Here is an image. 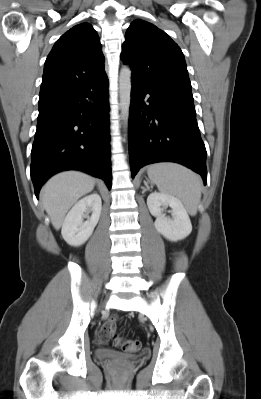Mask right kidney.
Returning <instances> with one entry per match:
<instances>
[{
    "label": "right kidney",
    "mask_w": 261,
    "mask_h": 399,
    "mask_svg": "<svg viewBox=\"0 0 261 399\" xmlns=\"http://www.w3.org/2000/svg\"><path fill=\"white\" fill-rule=\"evenodd\" d=\"M102 210L101 197L97 194L88 195L79 200L67 214L61 234L63 239L71 246L84 244L92 235L97 225ZM92 212L91 217L83 222L85 212Z\"/></svg>",
    "instance_id": "1"
}]
</instances>
